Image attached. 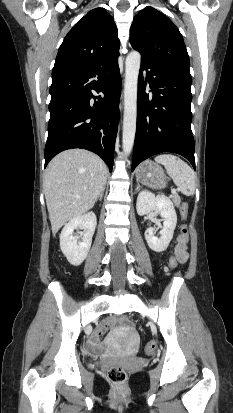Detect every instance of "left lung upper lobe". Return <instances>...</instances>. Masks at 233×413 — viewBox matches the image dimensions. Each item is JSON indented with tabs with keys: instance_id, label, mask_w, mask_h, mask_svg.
<instances>
[{
	"instance_id": "1",
	"label": "left lung upper lobe",
	"mask_w": 233,
	"mask_h": 413,
	"mask_svg": "<svg viewBox=\"0 0 233 413\" xmlns=\"http://www.w3.org/2000/svg\"><path fill=\"white\" fill-rule=\"evenodd\" d=\"M130 44L141 53L142 59L192 83L183 37L163 13L152 7L140 11L131 25Z\"/></svg>"
}]
</instances>
